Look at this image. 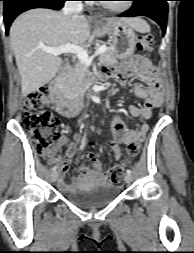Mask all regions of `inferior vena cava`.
Instances as JSON below:
<instances>
[{"instance_id": "inferior-vena-cava-1", "label": "inferior vena cava", "mask_w": 194, "mask_h": 253, "mask_svg": "<svg viewBox=\"0 0 194 253\" xmlns=\"http://www.w3.org/2000/svg\"><path fill=\"white\" fill-rule=\"evenodd\" d=\"M83 5L81 1H66L63 7V14L72 16L81 13Z\"/></svg>"}]
</instances>
